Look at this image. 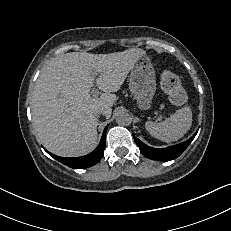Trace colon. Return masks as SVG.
<instances>
[{"instance_id":"colon-1","label":"colon","mask_w":231,"mask_h":231,"mask_svg":"<svg viewBox=\"0 0 231 231\" xmlns=\"http://www.w3.org/2000/svg\"><path fill=\"white\" fill-rule=\"evenodd\" d=\"M160 86L173 104L189 106L187 93L179 77L174 72L164 70L161 74Z\"/></svg>"}]
</instances>
